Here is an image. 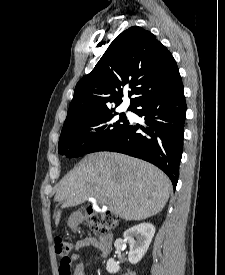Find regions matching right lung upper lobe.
<instances>
[{"instance_id":"1","label":"right lung upper lobe","mask_w":225,"mask_h":275,"mask_svg":"<svg viewBox=\"0 0 225 275\" xmlns=\"http://www.w3.org/2000/svg\"><path fill=\"white\" fill-rule=\"evenodd\" d=\"M181 81L169 50L149 31L133 26L110 44L95 68L76 85L64 126L111 111L127 88L129 110L143 98Z\"/></svg>"}]
</instances>
